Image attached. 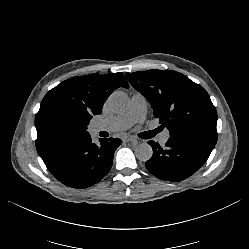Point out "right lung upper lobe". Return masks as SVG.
<instances>
[{
	"instance_id": "1",
	"label": "right lung upper lobe",
	"mask_w": 249,
	"mask_h": 249,
	"mask_svg": "<svg viewBox=\"0 0 249 249\" xmlns=\"http://www.w3.org/2000/svg\"><path fill=\"white\" fill-rule=\"evenodd\" d=\"M119 87H129L122 73L73 77L51 89L43 98L35 117L38 153L49 145L66 139L52 134L48 128L47 118L53 109L78 111L82 116L91 119L92 115L102 112L106 99Z\"/></svg>"
}]
</instances>
